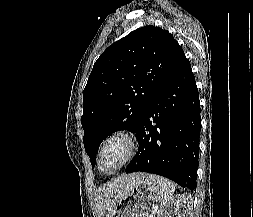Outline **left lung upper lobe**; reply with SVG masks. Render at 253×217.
<instances>
[{
	"mask_svg": "<svg viewBox=\"0 0 253 217\" xmlns=\"http://www.w3.org/2000/svg\"><path fill=\"white\" fill-rule=\"evenodd\" d=\"M184 59L173 35L155 26L134 30L103 52L83 92V143L92 168L103 139L118 130L134 133L156 93Z\"/></svg>",
	"mask_w": 253,
	"mask_h": 217,
	"instance_id": "1",
	"label": "left lung upper lobe"
}]
</instances>
